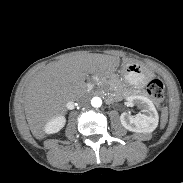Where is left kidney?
Wrapping results in <instances>:
<instances>
[{"label":"left kidney","instance_id":"left-kidney-1","mask_svg":"<svg viewBox=\"0 0 183 183\" xmlns=\"http://www.w3.org/2000/svg\"><path fill=\"white\" fill-rule=\"evenodd\" d=\"M126 100L130 105H136L143 113L132 116L123 112L120 116L123 127L136 133L153 132L158 126L159 116L152 101L145 96L139 95L128 96Z\"/></svg>","mask_w":183,"mask_h":183}]
</instances>
